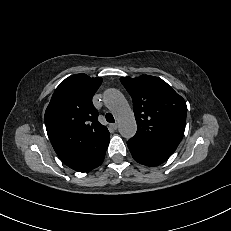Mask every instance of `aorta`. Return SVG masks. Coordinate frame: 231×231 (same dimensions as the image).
I'll use <instances>...</instances> for the list:
<instances>
[{"label": "aorta", "instance_id": "aorta-1", "mask_svg": "<svg viewBox=\"0 0 231 231\" xmlns=\"http://www.w3.org/2000/svg\"><path fill=\"white\" fill-rule=\"evenodd\" d=\"M104 103L118 121V130L122 137L129 139L137 131L134 113L123 94L117 89H108L104 93Z\"/></svg>", "mask_w": 231, "mask_h": 231}]
</instances>
